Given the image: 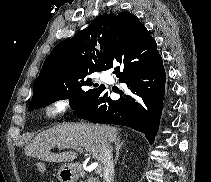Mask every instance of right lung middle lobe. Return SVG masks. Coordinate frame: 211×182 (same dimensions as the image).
I'll list each match as a JSON object with an SVG mask.
<instances>
[{"mask_svg":"<svg viewBox=\"0 0 211 182\" xmlns=\"http://www.w3.org/2000/svg\"><path fill=\"white\" fill-rule=\"evenodd\" d=\"M94 72L77 78L50 83L38 88L33 91V97L28 110L33 111L64 99H69L71 108L75 110L89 99L101 86L94 83L90 77Z\"/></svg>","mask_w":211,"mask_h":182,"instance_id":"1","label":"right lung middle lobe"}]
</instances>
